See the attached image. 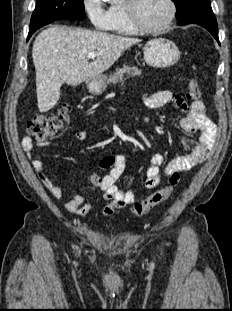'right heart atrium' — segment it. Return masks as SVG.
I'll return each instance as SVG.
<instances>
[{
  "mask_svg": "<svg viewBox=\"0 0 232 311\" xmlns=\"http://www.w3.org/2000/svg\"><path fill=\"white\" fill-rule=\"evenodd\" d=\"M105 0H82L83 8L96 30H107L111 16L110 11L105 7Z\"/></svg>",
  "mask_w": 232,
  "mask_h": 311,
  "instance_id": "1",
  "label": "right heart atrium"
}]
</instances>
